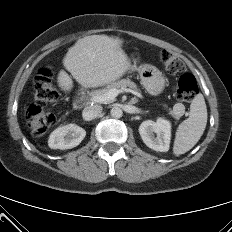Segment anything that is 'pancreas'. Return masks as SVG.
Instances as JSON below:
<instances>
[{
    "instance_id": "cf45deb5",
    "label": "pancreas",
    "mask_w": 232,
    "mask_h": 232,
    "mask_svg": "<svg viewBox=\"0 0 232 232\" xmlns=\"http://www.w3.org/2000/svg\"><path fill=\"white\" fill-rule=\"evenodd\" d=\"M129 87L135 91H138L137 86L134 82H132L129 79H122L120 81L114 82L110 85H108L107 87L103 88V89H99V90H95L92 92V96H103L104 94L108 93L110 90L112 89H120V88H126ZM111 101H106L104 103H110ZM169 114L172 115L176 120L179 119L180 115L177 114L174 110L169 109Z\"/></svg>"
}]
</instances>
